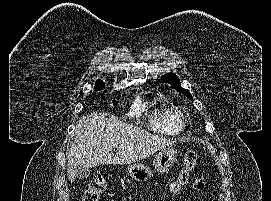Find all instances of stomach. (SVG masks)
<instances>
[{"label": "stomach", "instance_id": "obj_1", "mask_svg": "<svg viewBox=\"0 0 271 201\" xmlns=\"http://www.w3.org/2000/svg\"><path fill=\"white\" fill-rule=\"evenodd\" d=\"M177 159V151L172 148H163L156 154L154 160L155 170L160 173H166L174 165ZM128 176L137 182H145L153 176L151 168L142 163L130 164L126 168Z\"/></svg>", "mask_w": 271, "mask_h": 201}]
</instances>
